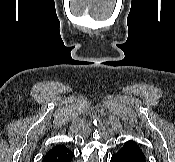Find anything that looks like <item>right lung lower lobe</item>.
Masks as SVG:
<instances>
[{"instance_id":"1","label":"right lung lower lobe","mask_w":175,"mask_h":162,"mask_svg":"<svg viewBox=\"0 0 175 162\" xmlns=\"http://www.w3.org/2000/svg\"><path fill=\"white\" fill-rule=\"evenodd\" d=\"M74 154L65 146H57L51 149L43 158L42 162H71Z\"/></svg>"}]
</instances>
